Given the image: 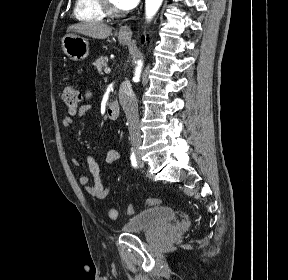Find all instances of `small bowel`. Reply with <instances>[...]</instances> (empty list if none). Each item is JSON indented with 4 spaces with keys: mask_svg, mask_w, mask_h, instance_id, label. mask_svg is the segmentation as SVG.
<instances>
[{
    "mask_svg": "<svg viewBox=\"0 0 288 280\" xmlns=\"http://www.w3.org/2000/svg\"><path fill=\"white\" fill-rule=\"evenodd\" d=\"M86 97L89 98L90 93H87ZM90 109H91L90 105L83 104L78 109L77 115L79 117H83L90 111ZM73 120H74L73 116H66L62 120V125L64 127H70L73 124ZM119 157H120L119 152L115 149H112V150L108 151V153L106 155V161L108 163H113V162L117 161L119 159ZM72 162L74 165L79 164L77 159H73ZM86 164L88 167V171L92 177L93 183L90 184V177L89 176L82 175L79 178L80 185H82L84 187L85 191L89 195H91L92 197H95L98 199H105L110 193V188L105 187L102 183V180L100 177V167H99L98 163L96 162V160L92 156H88L86 158Z\"/></svg>",
    "mask_w": 288,
    "mask_h": 280,
    "instance_id": "c3829d8e",
    "label": "small bowel"
}]
</instances>
